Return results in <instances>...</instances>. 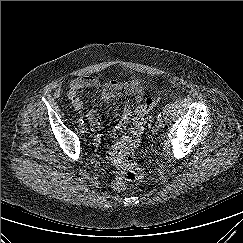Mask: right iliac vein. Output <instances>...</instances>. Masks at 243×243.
<instances>
[{"mask_svg": "<svg viewBox=\"0 0 243 243\" xmlns=\"http://www.w3.org/2000/svg\"><path fill=\"white\" fill-rule=\"evenodd\" d=\"M80 131H81L82 133H86V132L88 131V127H87V125H86V124H82V125L80 126Z\"/></svg>", "mask_w": 243, "mask_h": 243, "instance_id": "1", "label": "right iliac vein"}]
</instances>
